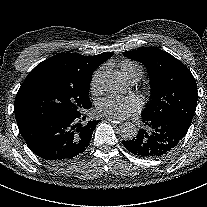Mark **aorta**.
I'll return each instance as SVG.
<instances>
[{
  "mask_svg": "<svg viewBox=\"0 0 207 207\" xmlns=\"http://www.w3.org/2000/svg\"><path fill=\"white\" fill-rule=\"evenodd\" d=\"M101 84L105 91L119 93L125 89V80L119 72H104L101 75ZM138 127L131 122H126L120 126V136L125 140H132L138 134Z\"/></svg>",
  "mask_w": 207,
  "mask_h": 207,
  "instance_id": "aorta-1",
  "label": "aorta"
}]
</instances>
